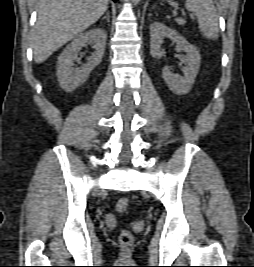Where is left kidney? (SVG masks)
<instances>
[{"instance_id":"obj_1","label":"left kidney","mask_w":254,"mask_h":267,"mask_svg":"<svg viewBox=\"0 0 254 267\" xmlns=\"http://www.w3.org/2000/svg\"><path fill=\"white\" fill-rule=\"evenodd\" d=\"M150 53L153 58H161L163 52L161 44L165 38L171 39L177 44L176 48L179 52H186V67L184 68V76L175 75L169 67H164L162 77L169 89L177 95H185L190 90L200 68L201 56L198 49L191 45L177 31L167 27L160 22H154L150 26Z\"/></svg>"}]
</instances>
